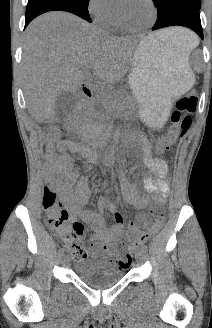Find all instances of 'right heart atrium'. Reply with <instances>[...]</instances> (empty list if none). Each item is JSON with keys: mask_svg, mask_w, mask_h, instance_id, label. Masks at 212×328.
Returning a JSON list of instances; mask_svg holds the SVG:
<instances>
[{"mask_svg": "<svg viewBox=\"0 0 212 328\" xmlns=\"http://www.w3.org/2000/svg\"><path fill=\"white\" fill-rule=\"evenodd\" d=\"M87 11L98 23L113 16L115 8L111 0H88Z\"/></svg>", "mask_w": 212, "mask_h": 328, "instance_id": "d8ad5b80", "label": "right heart atrium"}]
</instances>
